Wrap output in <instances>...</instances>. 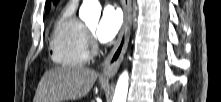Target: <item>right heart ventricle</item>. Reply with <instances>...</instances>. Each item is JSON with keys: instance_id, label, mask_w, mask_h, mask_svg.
<instances>
[{"instance_id": "e07e8e85", "label": "right heart ventricle", "mask_w": 221, "mask_h": 102, "mask_svg": "<svg viewBox=\"0 0 221 102\" xmlns=\"http://www.w3.org/2000/svg\"><path fill=\"white\" fill-rule=\"evenodd\" d=\"M76 2L67 3L55 19L50 34V56L64 67L84 65L89 58L87 30L75 15Z\"/></svg>"}]
</instances>
